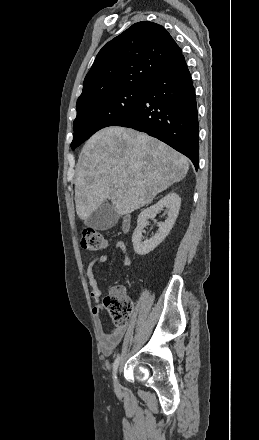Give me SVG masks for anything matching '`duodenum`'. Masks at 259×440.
I'll list each match as a JSON object with an SVG mask.
<instances>
[{
	"instance_id": "410a0bca",
	"label": "duodenum",
	"mask_w": 259,
	"mask_h": 440,
	"mask_svg": "<svg viewBox=\"0 0 259 440\" xmlns=\"http://www.w3.org/2000/svg\"><path fill=\"white\" fill-rule=\"evenodd\" d=\"M130 224H131V218L130 216H125L123 219V223H122V228L124 231H128L130 228Z\"/></svg>"
}]
</instances>
